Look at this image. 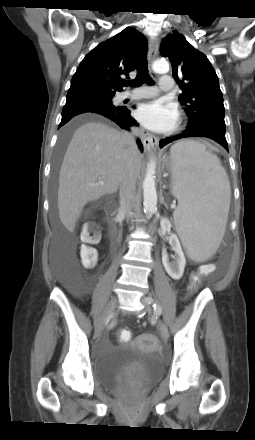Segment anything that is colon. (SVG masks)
<instances>
[{
    "mask_svg": "<svg viewBox=\"0 0 255 440\" xmlns=\"http://www.w3.org/2000/svg\"><path fill=\"white\" fill-rule=\"evenodd\" d=\"M82 237L89 243V245H86L81 249L83 263L87 267H93L96 263L97 252L91 244L99 239V231L93 226H87L83 231ZM194 289L195 287L191 288L190 292H193ZM131 336V332L127 329H122L118 332V337L121 341H129Z\"/></svg>",
    "mask_w": 255,
    "mask_h": 440,
    "instance_id": "1",
    "label": "colon"
}]
</instances>
